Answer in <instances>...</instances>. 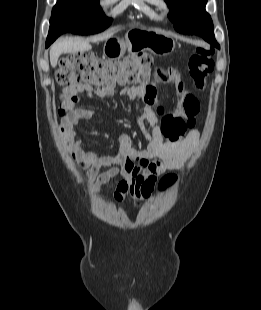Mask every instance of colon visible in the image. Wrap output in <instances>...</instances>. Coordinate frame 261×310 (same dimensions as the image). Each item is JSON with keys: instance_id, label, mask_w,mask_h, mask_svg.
Masks as SVG:
<instances>
[{"instance_id": "1", "label": "colon", "mask_w": 261, "mask_h": 310, "mask_svg": "<svg viewBox=\"0 0 261 310\" xmlns=\"http://www.w3.org/2000/svg\"><path fill=\"white\" fill-rule=\"evenodd\" d=\"M213 51L198 47L189 57L188 69L197 89L204 87L206 78L214 69ZM152 59L147 54H130L121 60H106L91 53H72L60 62L57 81L62 86L86 85L97 90L114 89L118 86L143 84L150 78ZM72 106L68 98L59 105L64 115ZM175 179L173 174L164 177L163 183Z\"/></svg>"}]
</instances>
